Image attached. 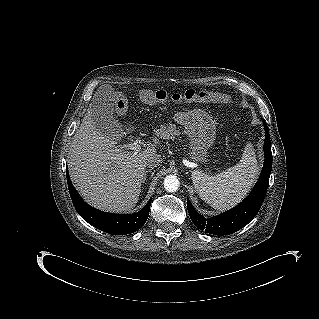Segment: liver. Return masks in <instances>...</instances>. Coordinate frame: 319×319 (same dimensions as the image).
<instances>
[{
    "instance_id": "obj_1",
    "label": "liver",
    "mask_w": 319,
    "mask_h": 319,
    "mask_svg": "<svg viewBox=\"0 0 319 319\" xmlns=\"http://www.w3.org/2000/svg\"><path fill=\"white\" fill-rule=\"evenodd\" d=\"M123 134L98 131L90 104L69 151L68 169L74 186L87 203L103 211L121 213L135 207L146 160L157 153L156 141L139 152L118 150L116 144Z\"/></svg>"
}]
</instances>
